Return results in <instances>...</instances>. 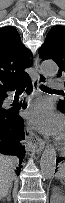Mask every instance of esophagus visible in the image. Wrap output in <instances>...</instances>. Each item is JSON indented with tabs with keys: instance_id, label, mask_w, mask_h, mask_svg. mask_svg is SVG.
I'll return each mask as SVG.
<instances>
[{
	"instance_id": "34e87169",
	"label": "esophagus",
	"mask_w": 65,
	"mask_h": 203,
	"mask_svg": "<svg viewBox=\"0 0 65 203\" xmlns=\"http://www.w3.org/2000/svg\"><path fill=\"white\" fill-rule=\"evenodd\" d=\"M34 69L36 72V77L33 79V87L34 89H38L39 85L45 83L47 80L46 76L40 71L38 57L34 61ZM27 133L28 147L38 154L41 153L44 148V141L29 129H27Z\"/></svg>"
}]
</instances>
